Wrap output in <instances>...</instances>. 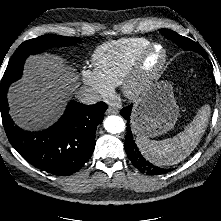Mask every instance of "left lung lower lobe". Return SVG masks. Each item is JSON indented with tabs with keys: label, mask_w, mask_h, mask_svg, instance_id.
<instances>
[{
	"label": "left lung lower lobe",
	"mask_w": 221,
	"mask_h": 221,
	"mask_svg": "<svg viewBox=\"0 0 221 221\" xmlns=\"http://www.w3.org/2000/svg\"><path fill=\"white\" fill-rule=\"evenodd\" d=\"M132 110V105L123 108L120 113L127 120V135L125 138V151L127 153L128 158L131 160L132 164L138 168L142 173H146L148 175H160L166 172H169L170 169H162L152 165L150 162L146 161V159L141 155L138 150L134 140L132 131L130 128V114Z\"/></svg>",
	"instance_id": "left-lung-lower-lobe-1"
}]
</instances>
